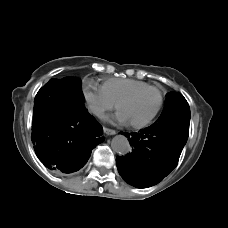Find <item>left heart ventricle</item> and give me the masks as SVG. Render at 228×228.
Listing matches in <instances>:
<instances>
[{"label":"left heart ventricle","instance_id":"obj_1","mask_svg":"<svg viewBox=\"0 0 228 228\" xmlns=\"http://www.w3.org/2000/svg\"><path fill=\"white\" fill-rule=\"evenodd\" d=\"M158 99L155 91H148L126 102L121 111L129 122H141L154 112Z\"/></svg>","mask_w":228,"mask_h":228}]
</instances>
